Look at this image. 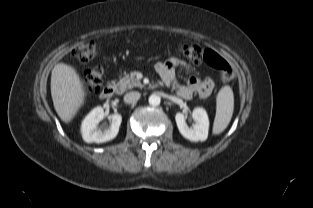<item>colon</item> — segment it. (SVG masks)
<instances>
[{
	"instance_id": "colon-1",
	"label": "colon",
	"mask_w": 313,
	"mask_h": 208,
	"mask_svg": "<svg viewBox=\"0 0 313 208\" xmlns=\"http://www.w3.org/2000/svg\"><path fill=\"white\" fill-rule=\"evenodd\" d=\"M96 46L93 42H83L73 50V56L81 63L89 62L95 55ZM178 52L194 63L206 62L216 69L224 82L234 79L235 72L230 64L219 54L212 50H202L193 44L178 46ZM103 70L101 67H94L85 73V84L90 92H97L102 82Z\"/></svg>"
}]
</instances>
